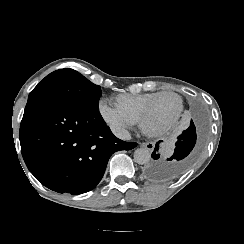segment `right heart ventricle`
<instances>
[{"label":"right heart ventricle","mask_w":244,"mask_h":244,"mask_svg":"<svg viewBox=\"0 0 244 244\" xmlns=\"http://www.w3.org/2000/svg\"><path fill=\"white\" fill-rule=\"evenodd\" d=\"M153 95L157 96L158 93L145 94V95H141V96L137 95V94H133V95H130V96L123 95V96L117 97L115 99V101H114V104H115V106H117L116 102H117L118 99H126L127 103H128V106L130 108L134 109V112H135L134 122L141 123L146 118L151 117V116H153L155 114L154 105L152 107V111L151 112L147 111L148 104H149L150 100L152 99ZM157 99H158V97H157ZM117 107H119V106H117Z\"/></svg>","instance_id":"1"}]
</instances>
